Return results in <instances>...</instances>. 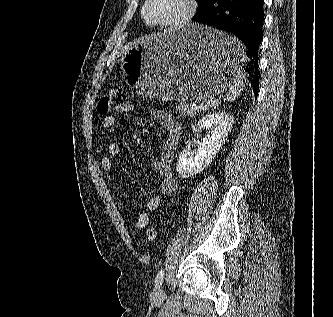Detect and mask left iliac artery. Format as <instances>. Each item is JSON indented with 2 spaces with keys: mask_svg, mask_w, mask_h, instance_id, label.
Instances as JSON below:
<instances>
[{
  "mask_svg": "<svg viewBox=\"0 0 333 317\" xmlns=\"http://www.w3.org/2000/svg\"><path fill=\"white\" fill-rule=\"evenodd\" d=\"M164 276H165V273H164V270L161 269L158 274L156 275V278H155V286H160L164 280Z\"/></svg>",
  "mask_w": 333,
  "mask_h": 317,
  "instance_id": "obj_1",
  "label": "left iliac artery"
}]
</instances>
